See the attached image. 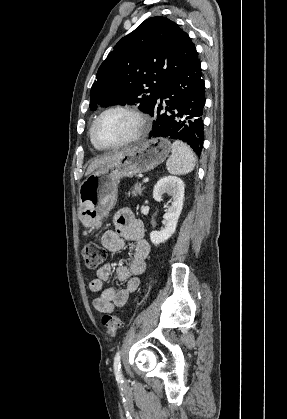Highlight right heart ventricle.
I'll return each mask as SVG.
<instances>
[{
  "label": "right heart ventricle",
  "instance_id": "1",
  "mask_svg": "<svg viewBox=\"0 0 287 419\" xmlns=\"http://www.w3.org/2000/svg\"><path fill=\"white\" fill-rule=\"evenodd\" d=\"M90 139H91V137H90ZM91 142H92V140H91ZM92 144H93V146H94L95 148H97V149H101V150H102V148H100V147L96 146L93 142H92Z\"/></svg>",
  "mask_w": 287,
  "mask_h": 419
}]
</instances>
